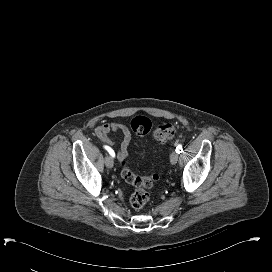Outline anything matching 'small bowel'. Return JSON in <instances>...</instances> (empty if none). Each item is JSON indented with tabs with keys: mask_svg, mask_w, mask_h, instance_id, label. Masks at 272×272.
<instances>
[{
	"mask_svg": "<svg viewBox=\"0 0 272 272\" xmlns=\"http://www.w3.org/2000/svg\"><path fill=\"white\" fill-rule=\"evenodd\" d=\"M112 132H119L122 135V141L120 148L117 151V157L119 160H123L128 156V147L131 141V132L128 127L120 122H111L103 124L96 128L97 138L106 145H113L114 140L109 136Z\"/></svg>",
	"mask_w": 272,
	"mask_h": 272,
	"instance_id": "1",
	"label": "small bowel"
}]
</instances>
